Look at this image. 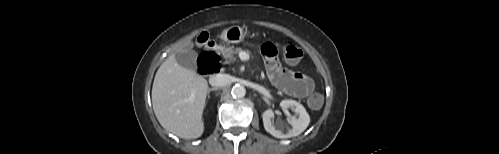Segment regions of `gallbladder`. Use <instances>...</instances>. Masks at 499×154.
Returning <instances> with one entry per match:
<instances>
[{"mask_svg": "<svg viewBox=\"0 0 499 154\" xmlns=\"http://www.w3.org/2000/svg\"><path fill=\"white\" fill-rule=\"evenodd\" d=\"M194 46L192 41H189L186 44V47L188 48L185 51H179L175 54V58L177 63L187 69L195 70L197 68L196 64V59H197V53L191 48Z\"/></svg>", "mask_w": 499, "mask_h": 154, "instance_id": "1", "label": "gallbladder"}]
</instances>
